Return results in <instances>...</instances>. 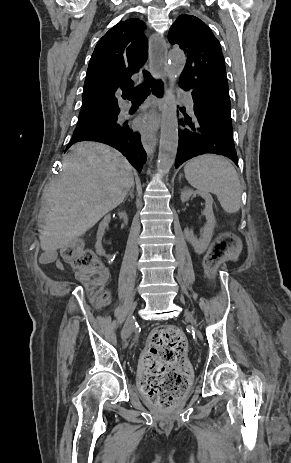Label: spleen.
I'll return each mask as SVG.
<instances>
[{"mask_svg": "<svg viewBox=\"0 0 291 463\" xmlns=\"http://www.w3.org/2000/svg\"><path fill=\"white\" fill-rule=\"evenodd\" d=\"M184 173L194 188L216 194L226 213L239 211L242 188L239 176L228 159L211 154L198 156L185 165Z\"/></svg>", "mask_w": 291, "mask_h": 463, "instance_id": "3e777b00", "label": "spleen"}]
</instances>
